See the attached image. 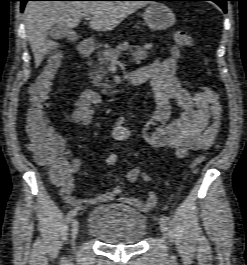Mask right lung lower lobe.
Returning a JSON list of instances; mask_svg holds the SVG:
<instances>
[{
  "label": "right lung lower lobe",
  "instance_id": "1",
  "mask_svg": "<svg viewBox=\"0 0 247 265\" xmlns=\"http://www.w3.org/2000/svg\"><path fill=\"white\" fill-rule=\"evenodd\" d=\"M21 1V11H23V9H24V6H25V3L27 2V1H30V0H20ZM87 1H96V0H87Z\"/></svg>",
  "mask_w": 247,
  "mask_h": 265
}]
</instances>
